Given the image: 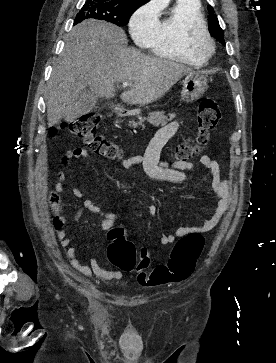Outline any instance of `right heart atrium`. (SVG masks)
Here are the masks:
<instances>
[{
  "mask_svg": "<svg viewBox=\"0 0 276 363\" xmlns=\"http://www.w3.org/2000/svg\"><path fill=\"white\" fill-rule=\"evenodd\" d=\"M159 6L151 1L140 6L129 20V30L133 39L146 45L158 27Z\"/></svg>",
  "mask_w": 276,
  "mask_h": 363,
  "instance_id": "1",
  "label": "right heart atrium"
}]
</instances>
